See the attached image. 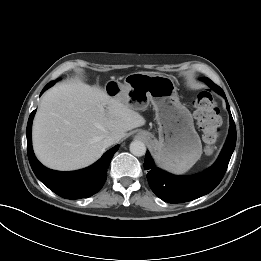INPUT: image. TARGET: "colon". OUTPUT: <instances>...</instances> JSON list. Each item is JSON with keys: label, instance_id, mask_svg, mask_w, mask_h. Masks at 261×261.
Returning a JSON list of instances; mask_svg holds the SVG:
<instances>
[{"label": "colon", "instance_id": "1", "mask_svg": "<svg viewBox=\"0 0 261 261\" xmlns=\"http://www.w3.org/2000/svg\"><path fill=\"white\" fill-rule=\"evenodd\" d=\"M194 108L195 119L202 139L210 148L219 136L221 125L219 109L212 95L207 91H201L197 95Z\"/></svg>", "mask_w": 261, "mask_h": 261}]
</instances>
